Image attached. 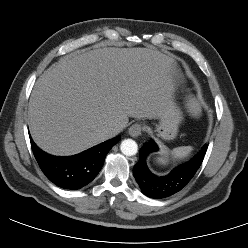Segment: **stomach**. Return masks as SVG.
<instances>
[{
	"label": "stomach",
	"mask_w": 248,
	"mask_h": 248,
	"mask_svg": "<svg viewBox=\"0 0 248 248\" xmlns=\"http://www.w3.org/2000/svg\"><path fill=\"white\" fill-rule=\"evenodd\" d=\"M183 119V111L173 99L172 106L159 118V124L156 125L158 137L166 141L175 139Z\"/></svg>",
	"instance_id": "1"
}]
</instances>
